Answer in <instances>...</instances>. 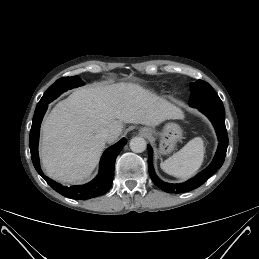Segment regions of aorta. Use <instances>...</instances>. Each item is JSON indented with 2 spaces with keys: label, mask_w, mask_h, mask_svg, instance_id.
I'll use <instances>...</instances> for the list:
<instances>
[{
  "label": "aorta",
  "mask_w": 259,
  "mask_h": 259,
  "mask_svg": "<svg viewBox=\"0 0 259 259\" xmlns=\"http://www.w3.org/2000/svg\"><path fill=\"white\" fill-rule=\"evenodd\" d=\"M130 149L135 153H142L147 147L146 140L142 137H134L130 140Z\"/></svg>",
  "instance_id": "762f6f07"
}]
</instances>
